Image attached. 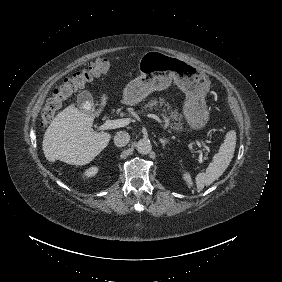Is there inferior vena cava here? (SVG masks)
Wrapping results in <instances>:
<instances>
[{"mask_svg": "<svg viewBox=\"0 0 282 282\" xmlns=\"http://www.w3.org/2000/svg\"><path fill=\"white\" fill-rule=\"evenodd\" d=\"M129 140H130V135L126 131H119L115 134V137H114L115 145L118 147H123L127 145Z\"/></svg>", "mask_w": 282, "mask_h": 282, "instance_id": "602c4592", "label": "inferior vena cava"}]
</instances>
